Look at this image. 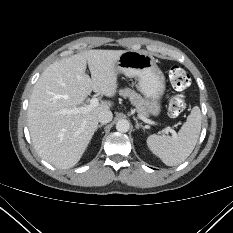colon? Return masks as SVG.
I'll use <instances>...</instances> for the list:
<instances>
[{"instance_id":"colon-1","label":"colon","mask_w":233,"mask_h":233,"mask_svg":"<svg viewBox=\"0 0 233 233\" xmlns=\"http://www.w3.org/2000/svg\"><path fill=\"white\" fill-rule=\"evenodd\" d=\"M168 76L172 86L178 91L187 89L191 84L189 74L180 66H171L168 71ZM185 107V97L180 94L175 95L169 103V114L174 117L179 116L185 110Z\"/></svg>"}]
</instances>
